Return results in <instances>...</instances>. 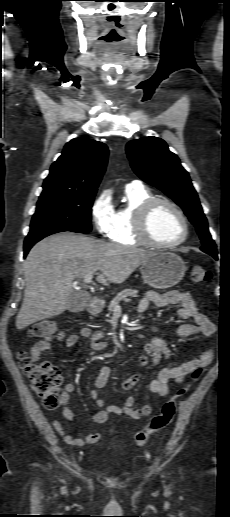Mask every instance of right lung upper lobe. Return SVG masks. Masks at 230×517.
Wrapping results in <instances>:
<instances>
[{"instance_id": "obj_1", "label": "right lung upper lobe", "mask_w": 230, "mask_h": 517, "mask_svg": "<svg viewBox=\"0 0 230 517\" xmlns=\"http://www.w3.org/2000/svg\"><path fill=\"white\" fill-rule=\"evenodd\" d=\"M108 148L105 144L75 138L68 142L43 183L40 197L74 193H96L105 172Z\"/></svg>"}]
</instances>
